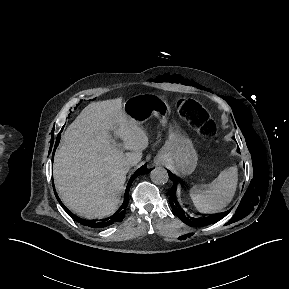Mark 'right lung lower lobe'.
Segmentation results:
<instances>
[{"instance_id": "right-lung-lower-lobe-1", "label": "right lung lower lobe", "mask_w": 289, "mask_h": 289, "mask_svg": "<svg viewBox=\"0 0 289 289\" xmlns=\"http://www.w3.org/2000/svg\"><path fill=\"white\" fill-rule=\"evenodd\" d=\"M59 139V138H58ZM59 141L57 140L56 141V146L58 145ZM148 170H145L143 167L139 168L133 175L132 177L130 178L129 182H128V185H127V188H126V191H125V196H124V202L122 204V206L118 209L117 212H115L112 216L108 217V218H105V219H100V220H85V219H81L77 216H75L74 214H72L63 204L62 202L60 201L57 193L55 194L58 201L60 202V204L62 205V207L64 208V210L71 216L73 217L77 222L81 223L82 225H85V226H89V227H92V228H103V227H107V226H110L112 224H115V223H118V222H121L124 218V215H125V211H126V207L128 205V193H129V189H130V186L133 182V180L135 179L136 176L140 175V174H143V173H147ZM55 189V188H54Z\"/></svg>"}]
</instances>
